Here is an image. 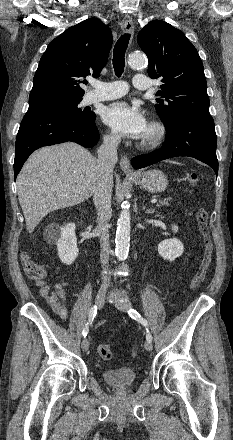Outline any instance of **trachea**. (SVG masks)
Wrapping results in <instances>:
<instances>
[{
	"mask_svg": "<svg viewBox=\"0 0 233 440\" xmlns=\"http://www.w3.org/2000/svg\"><path fill=\"white\" fill-rule=\"evenodd\" d=\"M130 34L122 35L116 42L113 50V67L115 74L120 77L125 67V52L128 47Z\"/></svg>",
	"mask_w": 233,
	"mask_h": 440,
	"instance_id": "obj_1",
	"label": "trachea"
}]
</instances>
